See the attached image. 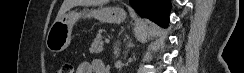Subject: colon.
Instances as JSON below:
<instances>
[{
    "mask_svg": "<svg viewBox=\"0 0 244 73\" xmlns=\"http://www.w3.org/2000/svg\"><path fill=\"white\" fill-rule=\"evenodd\" d=\"M58 73H73V65L69 62L64 63L59 69Z\"/></svg>",
    "mask_w": 244,
    "mask_h": 73,
    "instance_id": "1",
    "label": "colon"
}]
</instances>
